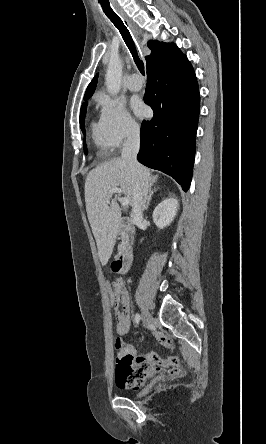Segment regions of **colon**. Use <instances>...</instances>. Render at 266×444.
<instances>
[{"instance_id":"colon-1","label":"colon","mask_w":266,"mask_h":444,"mask_svg":"<svg viewBox=\"0 0 266 444\" xmlns=\"http://www.w3.org/2000/svg\"><path fill=\"white\" fill-rule=\"evenodd\" d=\"M123 289L124 285L121 280H114L110 284V302L115 310L119 307L120 297Z\"/></svg>"}]
</instances>
